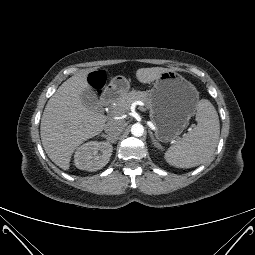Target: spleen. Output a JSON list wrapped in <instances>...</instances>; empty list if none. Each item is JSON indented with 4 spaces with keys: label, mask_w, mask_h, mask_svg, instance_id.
I'll list each match as a JSON object with an SVG mask.
<instances>
[{
    "label": "spleen",
    "mask_w": 255,
    "mask_h": 255,
    "mask_svg": "<svg viewBox=\"0 0 255 255\" xmlns=\"http://www.w3.org/2000/svg\"><path fill=\"white\" fill-rule=\"evenodd\" d=\"M197 125L165 153V160L178 168H192L208 163L217 147L220 124L215 107L209 100L199 101Z\"/></svg>",
    "instance_id": "1"
}]
</instances>
